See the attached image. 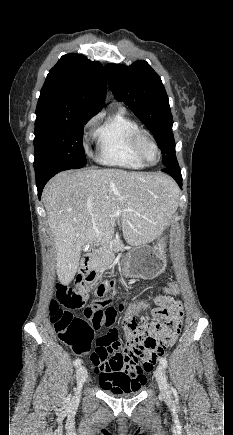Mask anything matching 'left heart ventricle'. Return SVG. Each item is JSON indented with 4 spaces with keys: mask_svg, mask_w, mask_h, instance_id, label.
<instances>
[{
    "mask_svg": "<svg viewBox=\"0 0 233 435\" xmlns=\"http://www.w3.org/2000/svg\"><path fill=\"white\" fill-rule=\"evenodd\" d=\"M144 151H145L146 158L150 163H154L157 161L158 159L157 152L151 144L145 143Z\"/></svg>",
    "mask_w": 233,
    "mask_h": 435,
    "instance_id": "obj_1",
    "label": "left heart ventricle"
}]
</instances>
